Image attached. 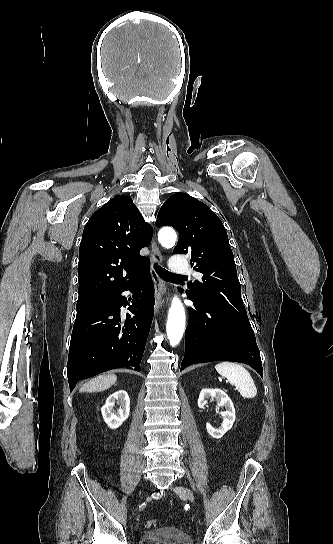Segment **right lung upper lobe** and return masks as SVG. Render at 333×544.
I'll return each mask as SVG.
<instances>
[{"label":"right lung upper lobe","instance_id":"obj_1","mask_svg":"<svg viewBox=\"0 0 333 544\" xmlns=\"http://www.w3.org/2000/svg\"><path fill=\"white\" fill-rule=\"evenodd\" d=\"M152 235L129 196H116L98 209L85 225L79 248L78 301L114 295L148 270L139 251Z\"/></svg>","mask_w":333,"mask_h":544}]
</instances>
